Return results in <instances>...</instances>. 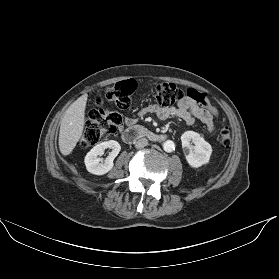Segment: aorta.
Wrapping results in <instances>:
<instances>
[{
	"label": "aorta",
	"instance_id": "1",
	"mask_svg": "<svg viewBox=\"0 0 279 279\" xmlns=\"http://www.w3.org/2000/svg\"><path fill=\"white\" fill-rule=\"evenodd\" d=\"M163 149L166 152H172L175 149V144L171 140H167L163 143Z\"/></svg>",
	"mask_w": 279,
	"mask_h": 279
}]
</instances>
